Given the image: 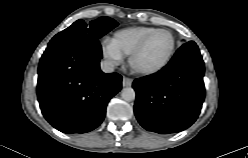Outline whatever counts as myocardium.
Masks as SVG:
<instances>
[{"instance_id": "myocardium-1", "label": "myocardium", "mask_w": 248, "mask_h": 158, "mask_svg": "<svg viewBox=\"0 0 248 158\" xmlns=\"http://www.w3.org/2000/svg\"><path fill=\"white\" fill-rule=\"evenodd\" d=\"M159 32H164L166 34H168L171 38V47L170 50L167 54V56L164 58V60L159 63L158 65L154 66V67H150V68H138L135 65V60L138 57V55L143 51L144 47L146 46L148 40L156 33ZM176 49V39L175 36L173 35L172 32H170L167 29H162V28H158V29H154L153 31L149 32L148 34H146L142 40L139 42V44L135 47V49L131 52V54L129 55V65L131 67V69L140 75H152L155 74L159 71H161L162 69H164L167 64L170 62L171 58L174 55Z\"/></svg>"}]
</instances>
